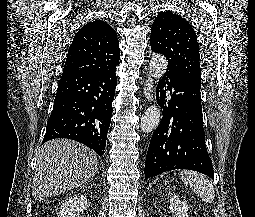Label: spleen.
<instances>
[{
    "mask_svg": "<svg viewBox=\"0 0 255 217\" xmlns=\"http://www.w3.org/2000/svg\"><path fill=\"white\" fill-rule=\"evenodd\" d=\"M181 180L190 186L195 194L204 202L212 203L215 197V191L212 183L202 174L184 170L180 172Z\"/></svg>",
    "mask_w": 255,
    "mask_h": 217,
    "instance_id": "3e777b00",
    "label": "spleen"
}]
</instances>
